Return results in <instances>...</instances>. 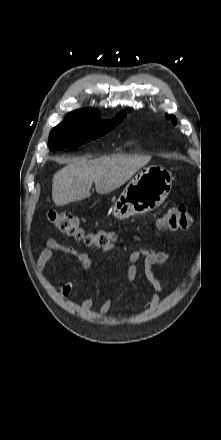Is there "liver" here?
<instances>
[{"label": "liver", "instance_id": "6515ba94", "mask_svg": "<svg viewBox=\"0 0 221 440\" xmlns=\"http://www.w3.org/2000/svg\"><path fill=\"white\" fill-rule=\"evenodd\" d=\"M150 157L113 155L93 160H72L53 176L52 199L56 206L88 198L93 182L99 194H107L127 182Z\"/></svg>", "mask_w": 221, "mask_h": 440}]
</instances>
